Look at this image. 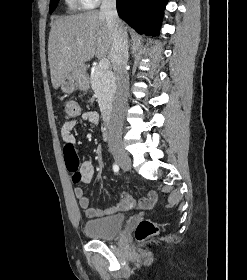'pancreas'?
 I'll list each match as a JSON object with an SVG mask.
<instances>
[{"label": "pancreas", "instance_id": "1", "mask_svg": "<svg viewBox=\"0 0 247 280\" xmlns=\"http://www.w3.org/2000/svg\"><path fill=\"white\" fill-rule=\"evenodd\" d=\"M90 81L100 109H106L111 104L115 92V78L112 71L96 66L91 71Z\"/></svg>", "mask_w": 247, "mask_h": 280}]
</instances>
